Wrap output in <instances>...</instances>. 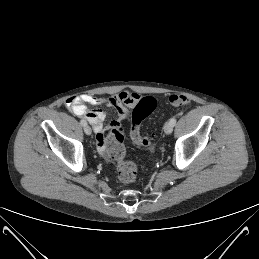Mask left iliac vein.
<instances>
[{"mask_svg": "<svg viewBox=\"0 0 259 259\" xmlns=\"http://www.w3.org/2000/svg\"><path fill=\"white\" fill-rule=\"evenodd\" d=\"M172 131H173V125H172L170 122H166V123L164 124V132H165L166 134H171Z\"/></svg>", "mask_w": 259, "mask_h": 259, "instance_id": "left-iliac-vein-1", "label": "left iliac vein"}]
</instances>
